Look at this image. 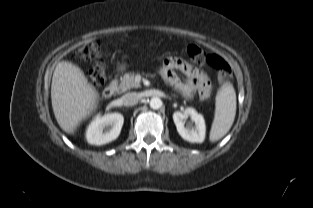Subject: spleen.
<instances>
[{
	"mask_svg": "<svg viewBox=\"0 0 313 208\" xmlns=\"http://www.w3.org/2000/svg\"><path fill=\"white\" fill-rule=\"evenodd\" d=\"M215 117L210 130V141L221 139L230 130L236 114V93L231 84H224L216 95Z\"/></svg>",
	"mask_w": 313,
	"mask_h": 208,
	"instance_id": "1",
	"label": "spleen"
}]
</instances>
